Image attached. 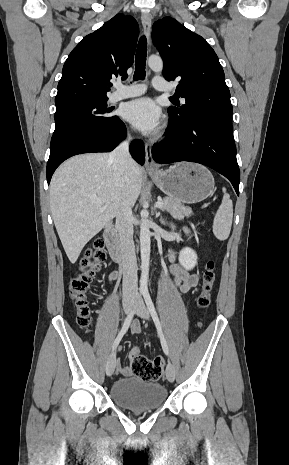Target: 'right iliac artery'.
<instances>
[{
    "instance_id": "1",
    "label": "right iliac artery",
    "mask_w": 289,
    "mask_h": 465,
    "mask_svg": "<svg viewBox=\"0 0 289 465\" xmlns=\"http://www.w3.org/2000/svg\"><path fill=\"white\" fill-rule=\"evenodd\" d=\"M135 309H136V305L134 306V308L131 310V312L128 314V316L126 317L125 321H124V324L121 328V331L119 332L118 336L116 337L114 343H113V346H112V350H115L117 348V346L119 345L122 337L124 336V334L127 332L129 326H130V323L132 321V318L134 316V313H135Z\"/></svg>"
}]
</instances>
